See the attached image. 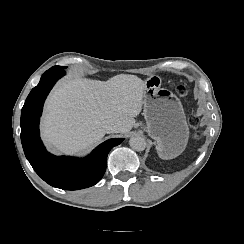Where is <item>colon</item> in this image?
I'll return each mask as SVG.
<instances>
[{
    "label": "colon",
    "instance_id": "5ec220e1",
    "mask_svg": "<svg viewBox=\"0 0 244 244\" xmlns=\"http://www.w3.org/2000/svg\"><path fill=\"white\" fill-rule=\"evenodd\" d=\"M178 89H179L180 91H184V90H185V87H184L183 85H179V86H178ZM195 137H197V138L202 137V133H201V132H197V133L195 134Z\"/></svg>",
    "mask_w": 244,
    "mask_h": 244
}]
</instances>
